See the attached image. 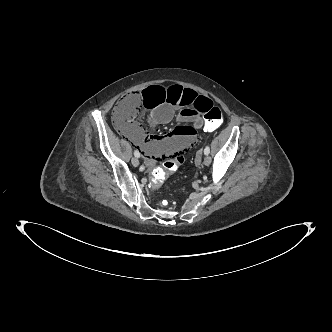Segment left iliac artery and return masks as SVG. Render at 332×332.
Returning a JSON list of instances; mask_svg holds the SVG:
<instances>
[{"mask_svg":"<svg viewBox=\"0 0 332 332\" xmlns=\"http://www.w3.org/2000/svg\"><path fill=\"white\" fill-rule=\"evenodd\" d=\"M209 153H210V147L206 146L205 149H204V154L208 155Z\"/></svg>","mask_w":332,"mask_h":332,"instance_id":"44dca946","label":"left iliac artery"}]
</instances>
